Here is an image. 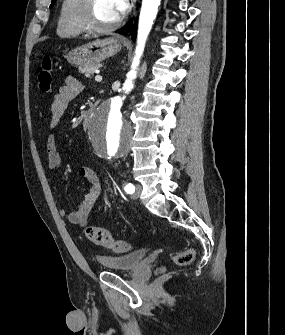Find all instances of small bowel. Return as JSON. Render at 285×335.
<instances>
[{
  "instance_id": "1",
  "label": "small bowel",
  "mask_w": 285,
  "mask_h": 335,
  "mask_svg": "<svg viewBox=\"0 0 285 335\" xmlns=\"http://www.w3.org/2000/svg\"><path fill=\"white\" fill-rule=\"evenodd\" d=\"M83 91V85L75 78L69 77L65 84L59 88L58 93L53 97L51 104V116L49 127L51 133L46 140L47 164L51 170H57L61 166V157L56 149V139L53 130L62 120L69 103ZM81 175L90 182V188L81 201L77 209L67 212L64 209L60 215L72 224L83 226L87 223L89 215L95 207L103 193V184L98 179L96 173L90 168L81 170Z\"/></svg>"
}]
</instances>
